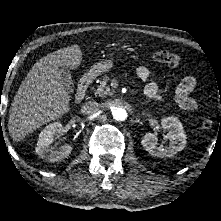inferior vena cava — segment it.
I'll use <instances>...</instances> for the list:
<instances>
[{
    "instance_id": "1",
    "label": "inferior vena cava",
    "mask_w": 221,
    "mask_h": 221,
    "mask_svg": "<svg viewBox=\"0 0 221 221\" xmlns=\"http://www.w3.org/2000/svg\"><path fill=\"white\" fill-rule=\"evenodd\" d=\"M100 109V105L96 101H87L82 106V113L84 114H94L98 112Z\"/></svg>"
}]
</instances>
